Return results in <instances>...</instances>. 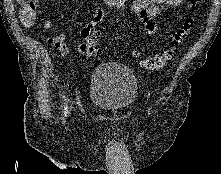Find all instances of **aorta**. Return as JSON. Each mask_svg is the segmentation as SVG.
<instances>
[{"label": "aorta", "instance_id": "1", "mask_svg": "<svg viewBox=\"0 0 221 174\" xmlns=\"http://www.w3.org/2000/svg\"><path fill=\"white\" fill-rule=\"evenodd\" d=\"M115 1L120 3V4H121V2H124V0H115Z\"/></svg>", "mask_w": 221, "mask_h": 174}]
</instances>
